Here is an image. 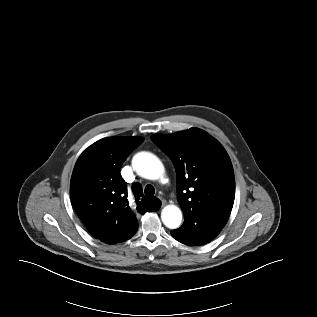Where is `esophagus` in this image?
<instances>
[{
    "label": "esophagus",
    "instance_id": "1",
    "mask_svg": "<svg viewBox=\"0 0 317 317\" xmlns=\"http://www.w3.org/2000/svg\"><path fill=\"white\" fill-rule=\"evenodd\" d=\"M159 199L162 202V205H165L167 203L166 200L162 196H159Z\"/></svg>",
    "mask_w": 317,
    "mask_h": 317
}]
</instances>
